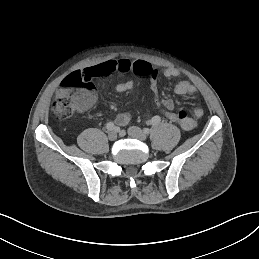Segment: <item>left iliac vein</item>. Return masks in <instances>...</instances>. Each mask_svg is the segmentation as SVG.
I'll list each match as a JSON object with an SVG mask.
<instances>
[{"instance_id":"1","label":"left iliac vein","mask_w":259,"mask_h":259,"mask_svg":"<svg viewBox=\"0 0 259 259\" xmlns=\"http://www.w3.org/2000/svg\"><path fill=\"white\" fill-rule=\"evenodd\" d=\"M128 134L136 139H139L141 141H145L147 139L146 133L140 129L139 127L136 126H131L128 128Z\"/></svg>"}]
</instances>
